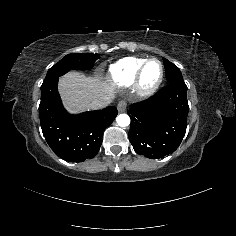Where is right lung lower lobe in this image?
<instances>
[{
    "label": "right lung lower lobe",
    "instance_id": "right-lung-lower-lobe-1",
    "mask_svg": "<svg viewBox=\"0 0 236 236\" xmlns=\"http://www.w3.org/2000/svg\"><path fill=\"white\" fill-rule=\"evenodd\" d=\"M64 74L46 76L41 86L40 124L47 143L57 156L69 162H83L98 153L103 132L118 111L110 106L79 115L69 114L57 90L58 78Z\"/></svg>",
    "mask_w": 236,
    "mask_h": 236
}]
</instances>
